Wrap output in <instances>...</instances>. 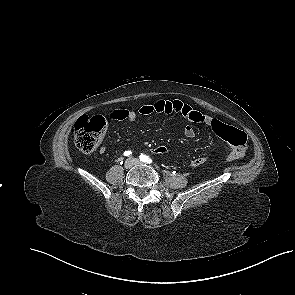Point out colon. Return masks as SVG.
<instances>
[{"label": "colon", "instance_id": "colon-1", "mask_svg": "<svg viewBox=\"0 0 295 295\" xmlns=\"http://www.w3.org/2000/svg\"><path fill=\"white\" fill-rule=\"evenodd\" d=\"M106 129V121L102 116H81L75 123V143L83 153L93 152L99 145ZM217 132L221 138L231 146L227 156L231 160H242L247 154L246 135L243 131L226 124H218ZM155 153L162 154L167 151L165 146H158Z\"/></svg>", "mask_w": 295, "mask_h": 295}]
</instances>
